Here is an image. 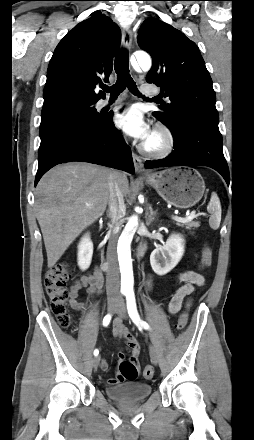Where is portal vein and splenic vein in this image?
<instances>
[{
	"label": "portal vein and splenic vein",
	"instance_id": "portal-vein-and-splenic-vein-1",
	"mask_svg": "<svg viewBox=\"0 0 254 440\" xmlns=\"http://www.w3.org/2000/svg\"><path fill=\"white\" fill-rule=\"evenodd\" d=\"M87 206H91L90 204H87ZM174 221L185 223L192 221L194 218H196L195 211L191 212V214L187 217H179V216H172L171 217Z\"/></svg>",
	"mask_w": 254,
	"mask_h": 440
}]
</instances>
